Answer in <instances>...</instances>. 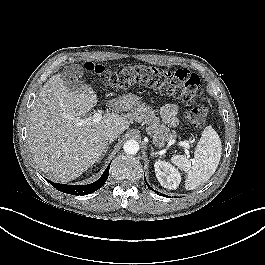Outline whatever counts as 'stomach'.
Here are the masks:
<instances>
[{"label": "stomach", "mask_w": 265, "mask_h": 265, "mask_svg": "<svg viewBox=\"0 0 265 265\" xmlns=\"http://www.w3.org/2000/svg\"><path fill=\"white\" fill-rule=\"evenodd\" d=\"M140 104L139 99L136 97H130L129 98V107L130 110H133L135 107H137Z\"/></svg>", "instance_id": "obj_1"}]
</instances>
